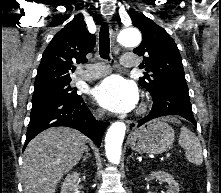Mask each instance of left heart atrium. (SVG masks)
<instances>
[{
	"mask_svg": "<svg viewBox=\"0 0 221 193\" xmlns=\"http://www.w3.org/2000/svg\"><path fill=\"white\" fill-rule=\"evenodd\" d=\"M93 97L106 110L113 113H127L135 108L138 91L131 81L114 75L95 87Z\"/></svg>",
	"mask_w": 221,
	"mask_h": 193,
	"instance_id": "left-heart-atrium-1",
	"label": "left heart atrium"
}]
</instances>
